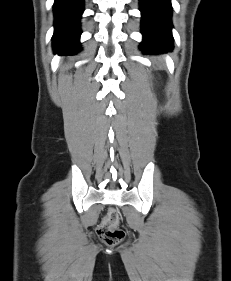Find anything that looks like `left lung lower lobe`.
I'll use <instances>...</instances> for the list:
<instances>
[{"mask_svg":"<svg viewBox=\"0 0 231 281\" xmlns=\"http://www.w3.org/2000/svg\"><path fill=\"white\" fill-rule=\"evenodd\" d=\"M142 12L144 41L140 49L145 53H159L173 48L171 34L172 7L170 0H139Z\"/></svg>","mask_w":231,"mask_h":281,"instance_id":"0a47b994","label":"left lung lower lobe"}]
</instances>
